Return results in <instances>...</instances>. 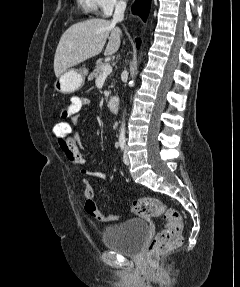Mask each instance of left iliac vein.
<instances>
[{
  "label": "left iliac vein",
  "instance_id": "obj_1",
  "mask_svg": "<svg viewBox=\"0 0 240 287\" xmlns=\"http://www.w3.org/2000/svg\"><path fill=\"white\" fill-rule=\"evenodd\" d=\"M123 162H124L126 165H129V163H130V160H129V157H128V154H127V149H125V152H124Z\"/></svg>",
  "mask_w": 240,
  "mask_h": 287
}]
</instances>
